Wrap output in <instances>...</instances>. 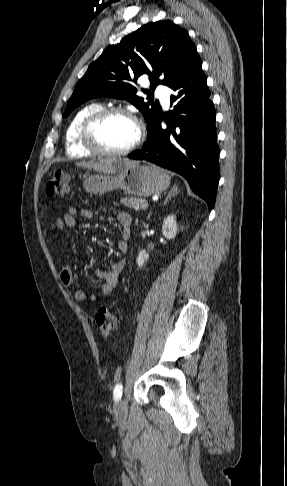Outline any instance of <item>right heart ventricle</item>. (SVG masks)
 <instances>
[{
    "label": "right heart ventricle",
    "instance_id": "obj_1",
    "mask_svg": "<svg viewBox=\"0 0 287 486\" xmlns=\"http://www.w3.org/2000/svg\"><path fill=\"white\" fill-rule=\"evenodd\" d=\"M98 103H91L76 112L71 119L65 133L66 154L71 158H85L91 154L81 145L79 131L83 121L93 112L101 109Z\"/></svg>",
    "mask_w": 287,
    "mask_h": 486
}]
</instances>
